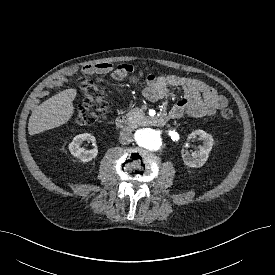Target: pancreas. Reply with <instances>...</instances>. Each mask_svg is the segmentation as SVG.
Instances as JSON below:
<instances>
[{"mask_svg":"<svg viewBox=\"0 0 275 275\" xmlns=\"http://www.w3.org/2000/svg\"><path fill=\"white\" fill-rule=\"evenodd\" d=\"M126 117L132 122H138L141 118L144 117V113L141 109L135 108L126 113Z\"/></svg>","mask_w":275,"mask_h":275,"instance_id":"1","label":"pancreas"}]
</instances>
